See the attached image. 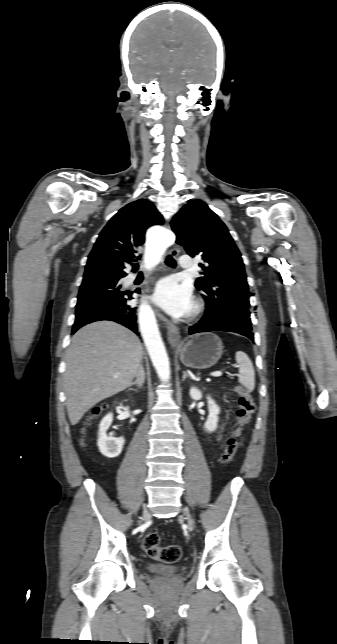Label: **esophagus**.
Here are the masks:
<instances>
[{
  "label": "esophagus",
  "mask_w": 337,
  "mask_h": 644,
  "mask_svg": "<svg viewBox=\"0 0 337 644\" xmlns=\"http://www.w3.org/2000/svg\"><path fill=\"white\" fill-rule=\"evenodd\" d=\"M169 253L173 257H177L179 254V250L177 248H173L170 250ZM159 316L163 318L168 325L167 336H168L169 343L171 345H178L181 341L179 328L176 325L172 324L169 320H167L162 314L159 313Z\"/></svg>",
  "instance_id": "1"
}]
</instances>
